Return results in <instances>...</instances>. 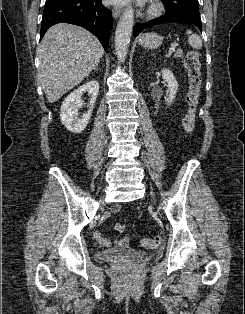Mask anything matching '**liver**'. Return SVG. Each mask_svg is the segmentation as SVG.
<instances>
[{
    "instance_id": "liver-1",
    "label": "liver",
    "mask_w": 245,
    "mask_h": 314,
    "mask_svg": "<svg viewBox=\"0 0 245 314\" xmlns=\"http://www.w3.org/2000/svg\"><path fill=\"white\" fill-rule=\"evenodd\" d=\"M103 54L99 40L82 27L60 23L49 28L38 48V78L48 101H58L80 84Z\"/></svg>"
}]
</instances>
